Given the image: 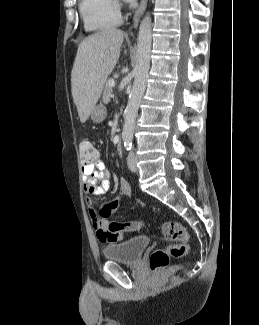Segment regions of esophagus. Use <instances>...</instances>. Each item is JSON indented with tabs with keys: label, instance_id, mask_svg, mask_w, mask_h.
Segmentation results:
<instances>
[{
	"label": "esophagus",
	"instance_id": "1",
	"mask_svg": "<svg viewBox=\"0 0 259 325\" xmlns=\"http://www.w3.org/2000/svg\"><path fill=\"white\" fill-rule=\"evenodd\" d=\"M147 1L148 0H141L140 1V4H139L137 10L135 11V14H134V17H133L132 28L137 27V25L139 23V20H140L141 16L143 15V13H144V11L146 9Z\"/></svg>",
	"mask_w": 259,
	"mask_h": 325
}]
</instances>
